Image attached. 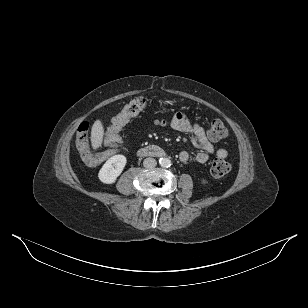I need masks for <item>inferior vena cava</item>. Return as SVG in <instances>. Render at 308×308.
<instances>
[{
    "mask_svg": "<svg viewBox=\"0 0 308 308\" xmlns=\"http://www.w3.org/2000/svg\"><path fill=\"white\" fill-rule=\"evenodd\" d=\"M145 168H154L157 165V161L154 158H146L143 161Z\"/></svg>",
    "mask_w": 308,
    "mask_h": 308,
    "instance_id": "obj_1",
    "label": "inferior vena cava"
}]
</instances>
